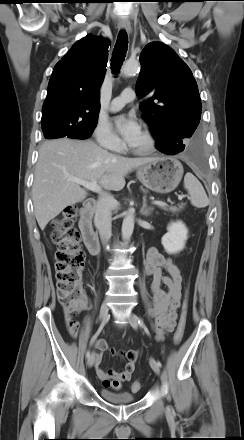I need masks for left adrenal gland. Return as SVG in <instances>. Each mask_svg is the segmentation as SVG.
Returning <instances> with one entry per match:
<instances>
[{
	"instance_id": "1",
	"label": "left adrenal gland",
	"mask_w": 244,
	"mask_h": 440,
	"mask_svg": "<svg viewBox=\"0 0 244 440\" xmlns=\"http://www.w3.org/2000/svg\"><path fill=\"white\" fill-rule=\"evenodd\" d=\"M154 208L153 207H148L147 203H146V198H143V205L142 208L140 210L141 214L145 217L151 215V213L153 212Z\"/></svg>"
}]
</instances>
